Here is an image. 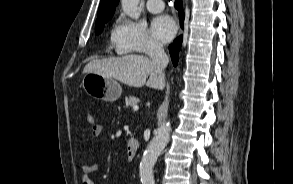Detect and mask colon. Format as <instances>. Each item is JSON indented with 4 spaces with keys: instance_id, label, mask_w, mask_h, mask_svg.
I'll return each mask as SVG.
<instances>
[{
    "instance_id": "colon-1",
    "label": "colon",
    "mask_w": 293,
    "mask_h": 184,
    "mask_svg": "<svg viewBox=\"0 0 293 184\" xmlns=\"http://www.w3.org/2000/svg\"><path fill=\"white\" fill-rule=\"evenodd\" d=\"M87 122L90 124V125H93L95 124V117L93 114L89 113L87 115Z\"/></svg>"
}]
</instances>
